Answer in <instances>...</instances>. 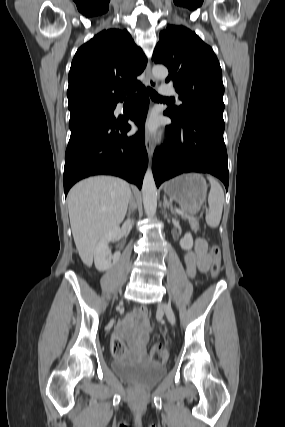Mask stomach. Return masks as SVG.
Instances as JSON below:
<instances>
[{"label": "stomach", "instance_id": "stomach-1", "mask_svg": "<svg viewBox=\"0 0 285 427\" xmlns=\"http://www.w3.org/2000/svg\"><path fill=\"white\" fill-rule=\"evenodd\" d=\"M164 192L181 208L195 213L205 201L207 184L200 174H184L166 182Z\"/></svg>", "mask_w": 285, "mask_h": 427}]
</instances>
